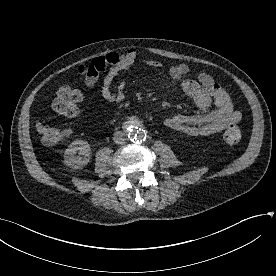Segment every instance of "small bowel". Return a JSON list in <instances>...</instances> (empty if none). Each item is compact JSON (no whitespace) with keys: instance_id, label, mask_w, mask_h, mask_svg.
I'll return each mask as SVG.
<instances>
[{"instance_id":"obj_1","label":"small bowel","mask_w":276,"mask_h":276,"mask_svg":"<svg viewBox=\"0 0 276 276\" xmlns=\"http://www.w3.org/2000/svg\"><path fill=\"white\" fill-rule=\"evenodd\" d=\"M138 60L150 67H160L154 59H143L136 49L124 53H108L92 59L89 64L81 66L79 73L84 78L85 87L92 90L98 83L100 74L106 72L101 82V96L109 102H121L124 97L125 81L120 80L114 87L117 78L126 74ZM189 72L186 64H177L170 68V76L180 81L182 91L190 97L200 110L214 109L206 114H175L165 119L164 124L173 130L191 136H208L237 124L241 113L233 108L226 90L213 77L205 72L198 74L196 80L184 79Z\"/></svg>"}]
</instances>
